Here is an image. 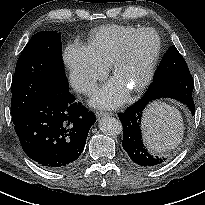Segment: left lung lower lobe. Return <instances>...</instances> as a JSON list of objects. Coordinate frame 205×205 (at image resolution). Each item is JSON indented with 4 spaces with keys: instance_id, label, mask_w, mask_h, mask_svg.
<instances>
[{
    "instance_id": "left-lung-lower-lobe-1",
    "label": "left lung lower lobe",
    "mask_w": 205,
    "mask_h": 205,
    "mask_svg": "<svg viewBox=\"0 0 205 205\" xmlns=\"http://www.w3.org/2000/svg\"><path fill=\"white\" fill-rule=\"evenodd\" d=\"M194 81L190 73L177 74L153 81L144 96L118 115L123 125V148L137 165L151 168L161 165L165 158L153 156L145 148L141 136L142 117L147 106L154 100L173 98L185 104L195 114L192 98Z\"/></svg>"
}]
</instances>
